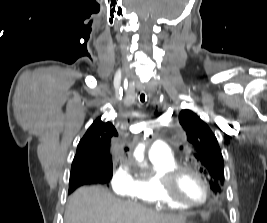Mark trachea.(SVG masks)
<instances>
[{"instance_id":"trachea-1","label":"trachea","mask_w":267,"mask_h":223,"mask_svg":"<svg viewBox=\"0 0 267 223\" xmlns=\"http://www.w3.org/2000/svg\"><path fill=\"white\" fill-rule=\"evenodd\" d=\"M139 99L141 101V103H146V95L145 93L141 92L140 95H139Z\"/></svg>"}]
</instances>
